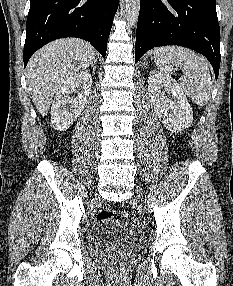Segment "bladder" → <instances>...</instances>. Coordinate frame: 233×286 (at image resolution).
Wrapping results in <instances>:
<instances>
[{
  "label": "bladder",
  "instance_id": "31cf9c89",
  "mask_svg": "<svg viewBox=\"0 0 233 286\" xmlns=\"http://www.w3.org/2000/svg\"><path fill=\"white\" fill-rule=\"evenodd\" d=\"M92 243L95 248L120 244L137 251L142 245V234L135 226L116 219L101 220L95 228Z\"/></svg>",
  "mask_w": 233,
  "mask_h": 286
}]
</instances>
